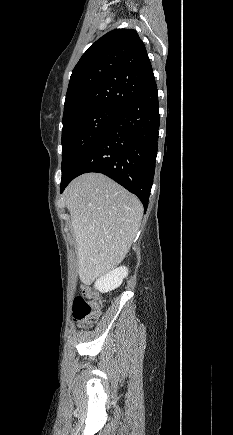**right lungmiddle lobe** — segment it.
<instances>
[{"label": "right lung middle lobe", "mask_w": 233, "mask_h": 435, "mask_svg": "<svg viewBox=\"0 0 233 435\" xmlns=\"http://www.w3.org/2000/svg\"><path fill=\"white\" fill-rule=\"evenodd\" d=\"M120 111L112 107H99L62 121V179Z\"/></svg>", "instance_id": "right-lung-middle-lobe-1"}]
</instances>
